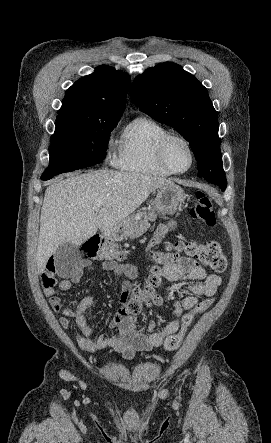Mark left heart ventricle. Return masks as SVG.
Wrapping results in <instances>:
<instances>
[{
    "label": "left heart ventricle",
    "instance_id": "1",
    "mask_svg": "<svg viewBox=\"0 0 271 443\" xmlns=\"http://www.w3.org/2000/svg\"><path fill=\"white\" fill-rule=\"evenodd\" d=\"M166 156L171 166L179 171L186 170L191 164L190 151L179 139H173L168 143Z\"/></svg>",
    "mask_w": 271,
    "mask_h": 443
}]
</instances>
